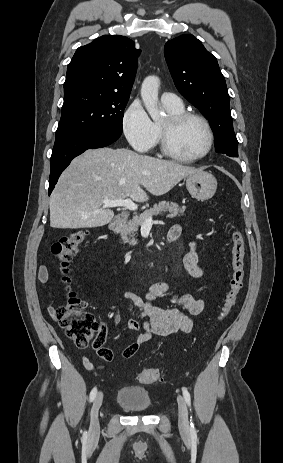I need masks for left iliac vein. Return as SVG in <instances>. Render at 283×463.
Here are the masks:
<instances>
[{
  "mask_svg": "<svg viewBox=\"0 0 283 463\" xmlns=\"http://www.w3.org/2000/svg\"><path fill=\"white\" fill-rule=\"evenodd\" d=\"M178 413H179V426L182 430L189 428L188 408L184 398L181 395L177 397Z\"/></svg>",
  "mask_w": 283,
  "mask_h": 463,
  "instance_id": "left-iliac-vein-1",
  "label": "left iliac vein"
}]
</instances>
